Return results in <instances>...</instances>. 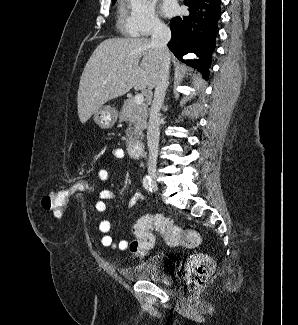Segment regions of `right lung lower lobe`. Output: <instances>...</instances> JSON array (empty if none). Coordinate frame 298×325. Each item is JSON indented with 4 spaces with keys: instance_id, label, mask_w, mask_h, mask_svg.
<instances>
[{
    "instance_id": "right-lung-lower-lobe-1",
    "label": "right lung lower lobe",
    "mask_w": 298,
    "mask_h": 325,
    "mask_svg": "<svg viewBox=\"0 0 298 325\" xmlns=\"http://www.w3.org/2000/svg\"><path fill=\"white\" fill-rule=\"evenodd\" d=\"M185 5L189 7V15L175 17L170 22L172 38L168 47L183 62V55L195 53L200 59L186 63L207 77L218 33L221 0H185Z\"/></svg>"
}]
</instances>
